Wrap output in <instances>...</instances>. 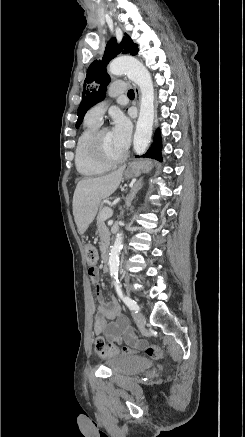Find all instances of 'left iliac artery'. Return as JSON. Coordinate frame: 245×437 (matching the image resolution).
<instances>
[{
  "instance_id": "left-iliac-artery-1",
  "label": "left iliac artery",
  "mask_w": 245,
  "mask_h": 437,
  "mask_svg": "<svg viewBox=\"0 0 245 437\" xmlns=\"http://www.w3.org/2000/svg\"><path fill=\"white\" fill-rule=\"evenodd\" d=\"M115 289H116L118 296L128 306V308L130 310H133L134 312L139 311L138 304L134 300H132L130 297L123 294L122 289H121V285L118 282L115 283Z\"/></svg>"
}]
</instances>
